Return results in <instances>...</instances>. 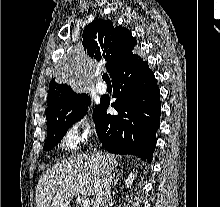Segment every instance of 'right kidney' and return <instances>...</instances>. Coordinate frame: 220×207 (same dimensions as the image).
I'll use <instances>...</instances> for the list:
<instances>
[{"instance_id": "1", "label": "right kidney", "mask_w": 220, "mask_h": 207, "mask_svg": "<svg viewBox=\"0 0 220 207\" xmlns=\"http://www.w3.org/2000/svg\"><path fill=\"white\" fill-rule=\"evenodd\" d=\"M135 177H136V174H133V173L129 174L128 178L125 180V185L127 188H129L132 185Z\"/></svg>"}]
</instances>
